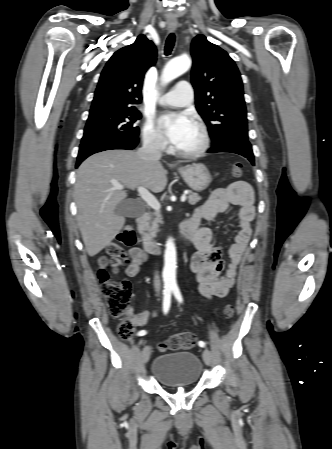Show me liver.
<instances>
[{
	"instance_id": "liver-1",
	"label": "liver",
	"mask_w": 332,
	"mask_h": 449,
	"mask_svg": "<svg viewBox=\"0 0 332 449\" xmlns=\"http://www.w3.org/2000/svg\"><path fill=\"white\" fill-rule=\"evenodd\" d=\"M114 183L158 193L165 189L167 177L160 162L144 161L134 151H104L79 166L74 189L77 220L91 257L108 246L125 224L124 216L116 214L115 209L127 193L113 189Z\"/></svg>"
}]
</instances>
